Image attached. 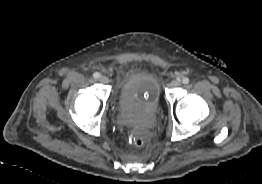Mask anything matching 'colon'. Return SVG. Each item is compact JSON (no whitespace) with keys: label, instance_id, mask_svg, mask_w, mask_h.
<instances>
[{"label":"colon","instance_id":"obj_1","mask_svg":"<svg viewBox=\"0 0 262 184\" xmlns=\"http://www.w3.org/2000/svg\"><path fill=\"white\" fill-rule=\"evenodd\" d=\"M131 142L136 147H141L144 145L145 141L141 136H134L131 138Z\"/></svg>","mask_w":262,"mask_h":184}]
</instances>
